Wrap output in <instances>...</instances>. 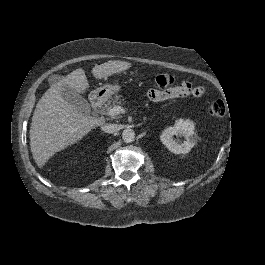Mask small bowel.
I'll use <instances>...</instances> for the list:
<instances>
[{"mask_svg":"<svg viewBox=\"0 0 265 265\" xmlns=\"http://www.w3.org/2000/svg\"><path fill=\"white\" fill-rule=\"evenodd\" d=\"M205 92L206 89L203 86H193L189 82H183L179 86L164 90L151 89L147 92V97L153 102H163L188 96L201 97Z\"/></svg>","mask_w":265,"mask_h":265,"instance_id":"c3829d8e","label":"small bowel"}]
</instances>
